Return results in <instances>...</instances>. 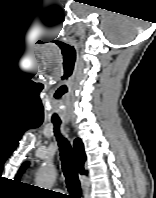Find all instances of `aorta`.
Segmentation results:
<instances>
[{"mask_svg":"<svg viewBox=\"0 0 156 198\" xmlns=\"http://www.w3.org/2000/svg\"><path fill=\"white\" fill-rule=\"evenodd\" d=\"M57 178V171L53 164L46 162L39 169L36 176V185L44 189H50Z\"/></svg>","mask_w":156,"mask_h":198,"instance_id":"aorta-1","label":"aorta"}]
</instances>
